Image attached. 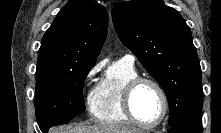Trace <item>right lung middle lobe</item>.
<instances>
[{
    "label": "right lung middle lobe",
    "instance_id": "1",
    "mask_svg": "<svg viewBox=\"0 0 221 133\" xmlns=\"http://www.w3.org/2000/svg\"><path fill=\"white\" fill-rule=\"evenodd\" d=\"M95 62L36 71L35 110L42 132L69 122L85 111L83 86Z\"/></svg>",
    "mask_w": 221,
    "mask_h": 133
}]
</instances>
